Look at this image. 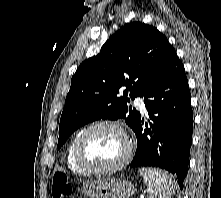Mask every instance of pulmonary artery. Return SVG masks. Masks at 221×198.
Returning <instances> with one entry per match:
<instances>
[{
  "mask_svg": "<svg viewBox=\"0 0 221 198\" xmlns=\"http://www.w3.org/2000/svg\"><path fill=\"white\" fill-rule=\"evenodd\" d=\"M134 103L140 108L142 113H146V106L142 97H136Z\"/></svg>",
  "mask_w": 221,
  "mask_h": 198,
  "instance_id": "pulmonary-artery-1",
  "label": "pulmonary artery"
}]
</instances>
